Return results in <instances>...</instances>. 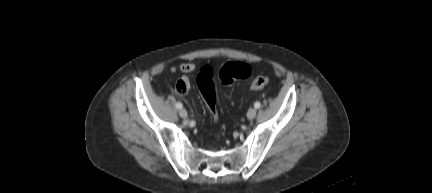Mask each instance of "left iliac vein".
I'll return each mask as SVG.
<instances>
[{
  "label": "left iliac vein",
  "mask_w": 432,
  "mask_h": 193,
  "mask_svg": "<svg viewBox=\"0 0 432 193\" xmlns=\"http://www.w3.org/2000/svg\"><path fill=\"white\" fill-rule=\"evenodd\" d=\"M256 116V109L255 108H250L247 112V117L249 119H253Z\"/></svg>",
  "instance_id": "4c4485c4"
}]
</instances>
